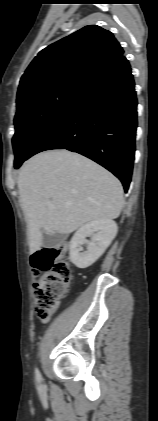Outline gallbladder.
Listing matches in <instances>:
<instances>
[{
	"label": "gallbladder",
	"instance_id": "gallbladder-1",
	"mask_svg": "<svg viewBox=\"0 0 158 421\" xmlns=\"http://www.w3.org/2000/svg\"><path fill=\"white\" fill-rule=\"evenodd\" d=\"M66 235L62 233H55L53 235L47 234L45 231L42 232V245L45 248H51L58 244H61L65 240Z\"/></svg>",
	"mask_w": 158,
	"mask_h": 421
}]
</instances>
